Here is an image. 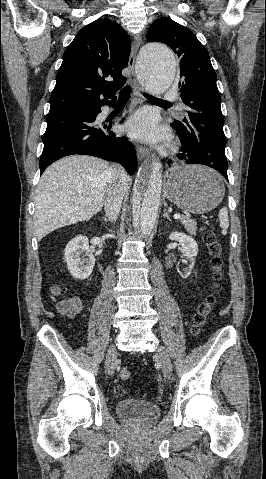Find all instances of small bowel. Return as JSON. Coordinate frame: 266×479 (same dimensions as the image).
I'll use <instances>...</instances> for the list:
<instances>
[{"label":"small bowel","mask_w":266,"mask_h":479,"mask_svg":"<svg viewBox=\"0 0 266 479\" xmlns=\"http://www.w3.org/2000/svg\"><path fill=\"white\" fill-rule=\"evenodd\" d=\"M52 292L57 297L61 295V290L57 285L52 286ZM56 308L61 314L73 318L82 313L84 303L81 298L73 296L58 300L56 302Z\"/></svg>","instance_id":"small-bowel-1"}]
</instances>
